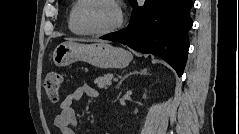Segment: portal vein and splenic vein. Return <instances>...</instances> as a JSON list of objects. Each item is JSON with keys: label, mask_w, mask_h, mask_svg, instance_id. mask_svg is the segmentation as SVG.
<instances>
[{"label": "portal vein and splenic vein", "mask_w": 239, "mask_h": 134, "mask_svg": "<svg viewBox=\"0 0 239 134\" xmlns=\"http://www.w3.org/2000/svg\"><path fill=\"white\" fill-rule=\"evenodd\" d=\"M114 81H118V79H117V78H114Z\"/></svg>", "instance_id": "obj_1"}]
</instances>
